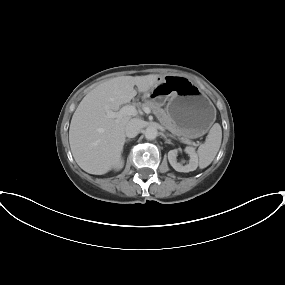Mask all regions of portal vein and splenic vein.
I'll return each instance as SVG.
<instances>
[{"instance_id": "obj_1", "label": "portal vein and splenic vein", "mask_w": 285, "mask_h": 285, "mask_svg": "<svg viewBox=\"0 0 285 285\" xmlns=\"http://www.w3.org/2000/svg\"><path fill=\"white\" fill-rule=\"evenodd\" d=\"M144 112L149 114L151 110L146 107L144 108ZM124 115L136 116L137 115L136 107L132 105H125L118 112L107 110V117L109 118H121ZM181 141L186 144L195 145V143L190 140H185L181 138Z\"/></svg>"}]
</instances>
